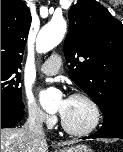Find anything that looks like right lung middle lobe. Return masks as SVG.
Here are the masks:
<instances>
[{
    "label": "right lung middle lobe",
    "instance_id": "dd1d6c3e",
    "mask_svg": "<svg viewBox=\"0 0 123 152\" xmlns=\"http://www.w3.org/2000/svg\"><path fill=\"white\" fill-rule=\"evenodd\" d=\"M18 70L1 68V106L23 110Z\"/></svg>",
    "mask_w": 123,
    "mask_h": 152
}]
</instances>
